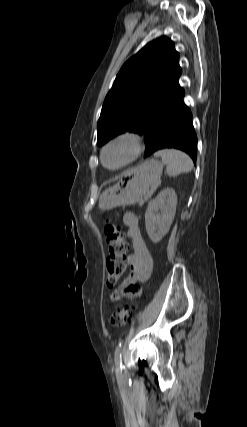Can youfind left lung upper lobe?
<instances>
[{
  "label": "left lung upper lobe",
  "instance_id": "obj_1",
  "mask_svg": "<svg viewBox=\"0 0 247 427\" xmlns=\"http://www.w3.org/2000/svg\"><path fill=\"white\" fill-rule=\"evenodd\" d=\"M174 43L165 36L145 45L119 71L97 123V144L126 131L144 134L150 122L184 91Z\"/></svg>",
  "mask_w": 247,
  "mask_h": 427
}]
</instances>
